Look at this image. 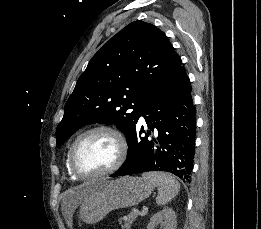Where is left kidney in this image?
<instances>
[{"label": "left kidney", "instance_id": "obj_1", "mask_svg": "<svg viewBox=\"0 0 261 229\" xmlns=\"http://www.w3.org/2000/svg\"><path fill=\"white\" fill-rule=\"evenodd\" d=\"M157 225H162L164 229H177V217L176 213L172 209H163L156 213L152 219H150L147 229H155Z\"/></svg>", "mask_w": 261, "mask_h": 229}]
</instances>
